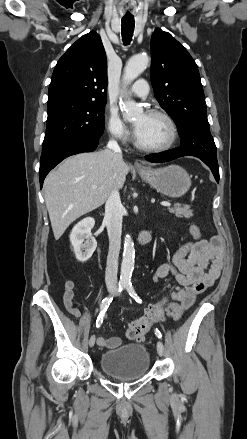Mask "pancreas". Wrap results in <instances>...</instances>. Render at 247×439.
<instances>
[{
	"label": "pancreas",
	"instance_id": "cf45deb5",
	"mask_svg": "<svg viewBox=\"0 0 247 439\" xmlns=\"http://www.w3.org/2000/svg\"><path fill=\"white\" fill-rule=\"evenodd\" d=\"M170 213L175 214L178 218H190L193 216V211L189 205H184L181 207L179 204L175 205L174 208H168Z\"/></svg>",
	"mask_w": 247,
	"mask_h": 439
}]
</instances>
